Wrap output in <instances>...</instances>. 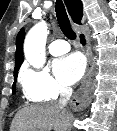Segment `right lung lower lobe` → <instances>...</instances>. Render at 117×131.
Listing matches in <instances>:
<instances>
[{
    "mask_svg": "<svg viewBox=\"0 0 117 131\" xmlns=\"http://www.w3.org/2000/svg\"><path fill=\"white\" fill-rule=\"evenodd\" d=\"M81 43L84 44V38L81 36Z\"/></svg>",
    "mask_w": 117,
    "mask_h": 131,
    "instance_id": "98d812e1",
    "label": "right lung lower lobe"
}]
</instances>
